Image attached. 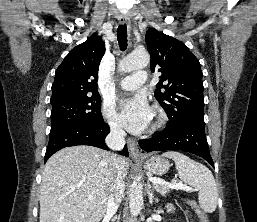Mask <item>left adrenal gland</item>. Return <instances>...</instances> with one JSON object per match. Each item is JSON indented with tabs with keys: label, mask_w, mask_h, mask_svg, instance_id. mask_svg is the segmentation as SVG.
<instances>
[{
	"label": "left adrenal gland",
	"mask_w": 257,
	"mask_h": 222,
	"mask_svg": "<svg viewBox=\"0 0 257 222\" xmlns=\"http://www.w3.org/2000/svg\"><path fill=\"white\" fill-rule=\"evenodd\" d=\"M147 194H148V198H149V203L152 205L153 201L155 200L156 202L158 201V198L154 197V194L151 190V184L148 182L147 183Z\"/></svg>",
	"instance_id": "a2214340"
}]
</instances>
